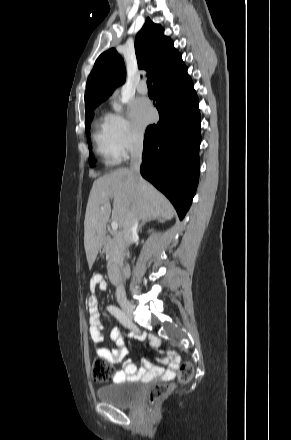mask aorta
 <instances>
[{
	"label": "aorta",
	"instance_id": "obj_1",
	"mask_svg": "<svg viewBox=\"0 0 291 440\" xmlns=\"http://www.w3.org/2000/svg\"><path fill=\"white\" fill-rule=\"evenodd\" d=\"M112 108L116 113H120L122 111V106L116 100H113Z\"/></svg>",
	"mask_w": 291,
	"mask_h": 440
}]
</instances>
